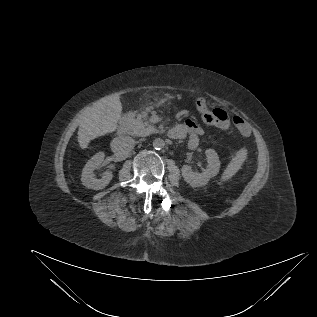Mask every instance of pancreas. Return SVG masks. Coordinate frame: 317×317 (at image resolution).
Segmentation results:
<instances>
[{
  "mask_svg": "<svg viewBox=\"0 0 317 317\" xmlns=\"http://www.w3.org/2000/svg\"><path fill=\"white\" fill-rule=\"evenodd\" d=\"M147 116L148 114L146 112L129 114L127 118L128 134L135 136H147L157 132V129L147 120Z\"/></svg>",
  "mask_w": 317,
  "mask_h": 317,
  "instance_id": "pancreas-1",
  "label": "pancreas"
}]
</instances>
